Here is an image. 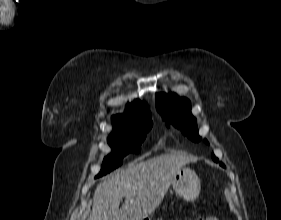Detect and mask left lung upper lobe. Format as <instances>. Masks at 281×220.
Returning a JSON list of instances; mask_svg holds the SVG:
<instances>
[{
    "label": "left lung upper lobe",
    "mask_w": 281,
    "mask_h": 220,
    "mask_svg": "<svg viewBox=\"0 0 281 220\" xmlns=\"http://www.w3.org/2000/svg\"><path fill=\"white\" fill-rule=\"evenodd\" d=\"M156 108L163 119H166L167 126L172 123L193 141L201 139L198 135L196 119L191 114L190 102L186 98H179L174 93H158L156 94ZM205 142L207 141L205 140ZM212 158L215 162H219L214 155ZM219 164L225 167L222 162Z\"/></svg>",
    "instance_id": "obj_1"
}]
</instances>
